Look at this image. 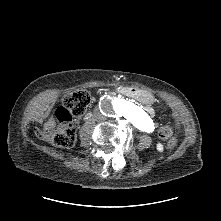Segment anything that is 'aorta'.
Instances as JSON below:
<instances>
[{"label": "aorta", "instance_id": "obj_1", "mask_svg": "<svg viewBox=\"0 0 221 221\" xmlns=\"http://www.w3.org/2000/svg\"><path fill=\"white\" fill-rule=\"evenodd\" d=\"M109 111L117 112L125 117L132 125L142 131L149 132L153 128V123L142 108L134 103L116 98L110 102Z\"/></svg>", "mask_w": 221, "mask_h": 221}]
</instances>
